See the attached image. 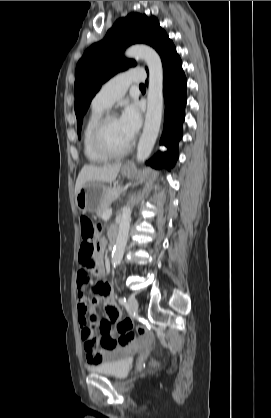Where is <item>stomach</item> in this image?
I'll return each instance as SVG.
<instances>
[{"mask_svg":"<svg viewBox=\"0 0 271 418\" xmlns=\"http://www.w3.org/2000/svg\"><path fill=\"white\" fill-rule=\"evenodd\" d=\"M121 173L126 177H131L133 171L130 167L123 166ZM108 189L104 182H87L76 195L75 203L77 208L83 213L97 212L103 196Z\"/></svg>","mask_w":271,"mask_h":418,"instance_id":"stomach-1","label":"stomach"}]
</instances>
